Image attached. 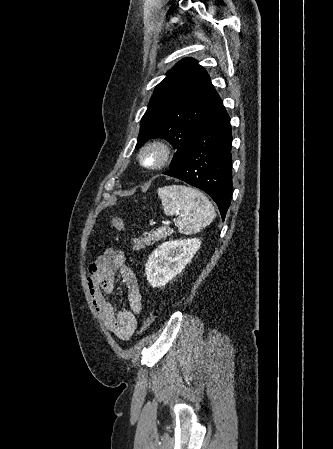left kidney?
Wrapping results in <instances>:
<instances>
[{"mask_svg": "<svg viewBox=\"0 0 333 449\" xmlns=\"http://www.w3.org/2000/svg\"><path fill=\"white\" fill-rule=\"evenodd\" d=\"M198 238L167 241L154 250L145 265V273L152 287L166 285L185 266L200 248Z\"/></svg>", "mask_w": 333, "mask_h": 449, "instance_id": "obj_1", "label": "left kidney"}]
</instances>
